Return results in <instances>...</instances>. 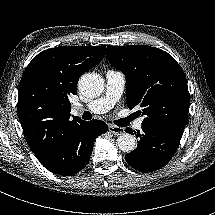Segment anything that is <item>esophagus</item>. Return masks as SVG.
I'll list each match as a JSON object with an SVG mask.
<instances>
[{"label": "esophagus", "mask_w": 215, "mask_h": 215, "mask_svg": "<svg viewBox=\"0 0 215 215\" xmlns=\"http://www.w3.org/2000/svg\"><path fill=\"white\" fill-rule=\"evenodd\" d=\"M108 130L113 133L114 135H122L125 132V129L123 127L115 126L112 124H109Z\"/></svg>", "instance_id": "esophagus-1"}]
</instances>
